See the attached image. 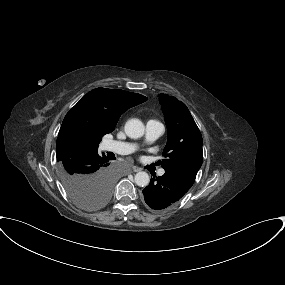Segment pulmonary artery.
Here are the masks:
<instances>
[{"label":"pulmonary artery","instance_id":"pulmonary-artery-1","mask_svg":"<svg viewBox=\"0 0 285 285\" xmlns=\"http://www.w3.org/2000/svg\"><path fill=\"white\" fill-rule=\"evenodd\" d=\"M164 132V126L159 121L149 120L146 124V138L153 141L159 138ZM106 151H111L121 155H127L135 150V145L126 142L108 140L103 145ZM165 173L164 169L159 170V175Z\"/></svg>","mask_w":285,"mask_h":285}]
</instances>
